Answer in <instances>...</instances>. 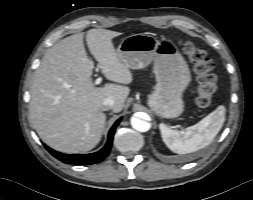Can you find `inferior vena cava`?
<instances>
[{
	"instance_id": "obj_1",
	"label": "inferior vena cava",
	"mask_w": 253,
	"mask_h": 200,
	"mask_svg": "<svg viewBox=\"0 0 253 200\" xmlns=\"http://www.w3.org/2000/svg\"><path fill=\"white\" fill-rule=\"evenodd\" d=\"M115 101L112 98H106L103 101V110L107 111L114 107Z\"/></svg>"
}]
</instances>
